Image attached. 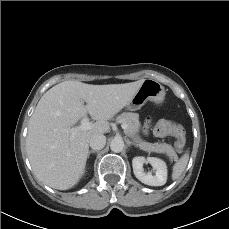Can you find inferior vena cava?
<instances>
[{"mask_svg":"<svg viewBox=\"0 0 229 229\" xmlns=\"http://www.w3.org/2000/svg\"><path fill=\"white\" fill-rule=\"evenodd\" d=\"M93 150H101L106 144V137L103 134H94L89 141Z\"/></svg>","mask_w":229,"mask_h":229,"instance_id":"602c4592","label":"inferior vena cava"}]
</instances>
